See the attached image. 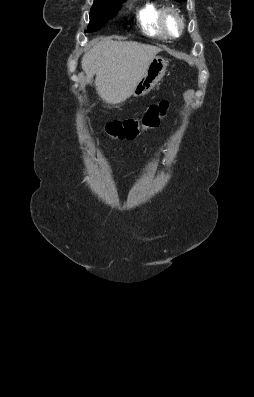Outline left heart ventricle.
Wrapping results in <instances>:
<instances>
[{"instance_id":"left-heart-ventricle-1","label":"left heart ventricle","mask_w":254,"mask_h":397,"mask_svg":"<svg viewBox=\"0 0 254 397\" xmlns=\"http://www.w3.org/2000/svg\"><path fill=\"white\" fill-rule=\"evenodd\" d=\"M167 24L171 32L177 33L179 30V23L174 16H169L167 19Z\"/></svg>"}]
</instances>
